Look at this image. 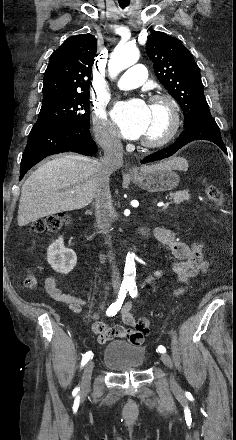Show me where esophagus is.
I'll use <instances>...</instances> for the list:
<instances>
[{
    "label": "esophagus",
    "mask_w": 236,
    "mask_h": 440,
    "mask_svg": "<svg viewBox=\"0 0 236 440\" xmlns=\"http://www.w3.org/2000/svg\"><path fill=\"white\" fill-rule=\"evenodd\" d=\"M135 173V170L134 169H132V168H129L128 169V174L129 175H133Z\"/></svg>",
    "instance_id": "obj_1"
}]
</instances>
